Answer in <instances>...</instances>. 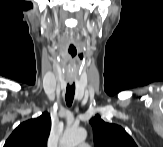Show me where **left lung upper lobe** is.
<instances>
[{
	"label": "left lung upper lobe",
	"instance_id": "left-lung-upper-lobe-1",
	"mask_svg": "<svg viewBox=\"0 0 163 147\" xmlns=\"http://www.w3.org/2000/svg\"><path fill=\"white\" fill-rule=\"evenodd\" d=\"M95 147H137L121 126L104 122L99 115L90 120Z\"/></svg>",
	"mask_w": 163,
	"mask_h": 147
}]
</instances>
